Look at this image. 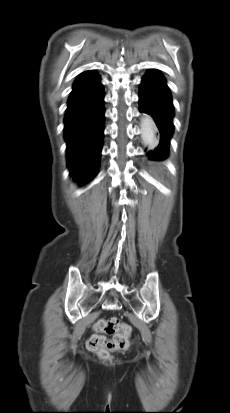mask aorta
Masks as SVG:
<instances>
[{"label":"aorta","instance_id":"762f6f07","mask_svg":"<svg viewBox=\"0 0 230 413\" xmlns=\"http://www.w3.org/2000/svg\"><path fill=\"white\" fill-rule=\"evenodd\" d=\"M141 138L146 146H153L156 140L155 128L153 120L150 116H145L141 119Z\"/></svg>","mask_w":230,"mask_h":413}]
</instances>
